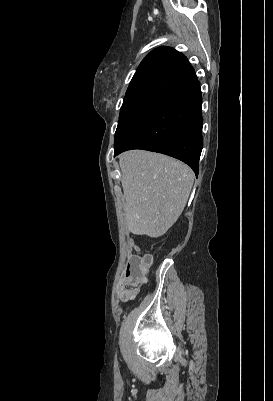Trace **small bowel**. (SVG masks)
Listing matches in <instances>:
<instances>
[{
	"label": "small bowel",
	"mask_w": 273,
	"mask_h": 401,
	"mask_svg": "<svg viewBox=\"0 0 273 401\" xmlns=\"http://www.w3.org/2000/svg\"><path fill=\"white\" fill-rule=\"evenodd\" d=\"M143 282H145V280H141V283H143ZM119 301L122 304H127V303H129V301L131 304H138L140 301V298L138 296V292H133L132 290H122Z\"/></svg>",
	"instance_id": "obj_1"
}]
</instances>
